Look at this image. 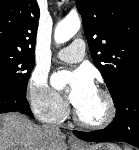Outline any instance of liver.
<instances>
[{
  "label": "liver",
  "mask_w": 139,
  "mask_h": 150,
  "mask_svg": "<svg viewBox=\"0 0 139 150\" xmlns=\"http://www.w3.org/2000/svg\"><path fill=\"white\" fill-rule=\"evenodd\" d=\"M65 136L48 132L18 113L0 115V150H65Z\"/></svg>",
  "instance_id": "obj_1"
}]
</instances>
